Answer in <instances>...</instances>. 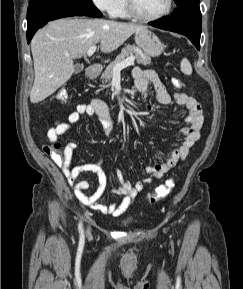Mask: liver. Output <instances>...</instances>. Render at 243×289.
I'll list each match as a JSON object with an SVG mask.
<instances>
[{
	"mask_svg": "<svg viewBox=\"0 0 243 289\" xmlns=\"http://www.w3.org/2000/svg\"><path fill=\"white\" fill-rule=\"evenodd\" d=\"M146 27L105 19L63 18L51 21L31 41L35 79L30 101L38 103L66 83L74 73V58L85 56L100 42L111 53Z\"/></svg>",
	"mask_w": 243,
	"mask_h": 289,
	"instance_id": "obj_1",
	"label": "liver"
}]
</instances>
